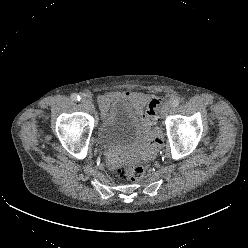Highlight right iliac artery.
Returning a JSON list of instances; mask_svg holds the SVG:
<instances>
[{"instance_id":"82829eb1","label":"right iliac artery","mask_w":248,"mask_h":248,"mask_svg":"<svg viewBox=\"0 0 248 248\" xmlns=\"http://www.w3.org/2000/svg\"><path fill=\"white\" fill-rule=\"evenodd\" d=\"M71 99H72L73 101H79V100H80V96H79L78 94H76V93H73V94L71 95Z\"/></svg>"}]
</instances>
